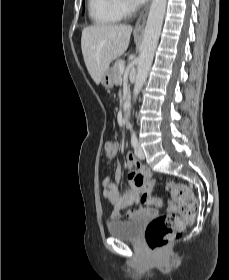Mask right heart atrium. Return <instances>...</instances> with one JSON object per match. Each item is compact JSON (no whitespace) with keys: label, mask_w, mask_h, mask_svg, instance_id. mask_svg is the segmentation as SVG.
Wrapping results in <instances>:
<instances>
[{"label":"right heart atrium","mask_w":229,"mask_h":280,"mask_svg":"<svg viewBox=\"0 0 229 280\" xmlns=\"http://www.w3.org/2000/svg\"><path fill=\"white\" fill-rule=\"evenodd\" d=\"M117 5L123 16L128 15L134 9V5L132 4V0H116Z\"/></svg>","instance_id":"right-heart-atrium-1"}]
</instances>
